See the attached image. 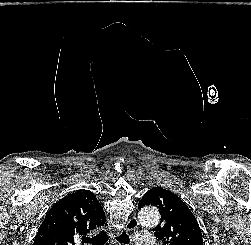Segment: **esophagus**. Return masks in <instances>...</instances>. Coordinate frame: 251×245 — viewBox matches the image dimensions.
Segmentation results:
<instances>
[{
	"label": "esophagus",
	"mask_w": 251,
	"mask_h": 245,
	"mask_svg": "<svg viewBox=\"0 0 251 245\" xmlns=\"http://www.w3.org/2000/svg\"><path fill=\"white\" fill-rule=\"evenodd\" d=\"M139 223L136 217H131L128 222L126 223L125 229L127 231L134 230L138 227ZM120 234V231H118L117 235Z\"/></svg>",
	"instance_id": "esophagus-1"
}]
</instances>
